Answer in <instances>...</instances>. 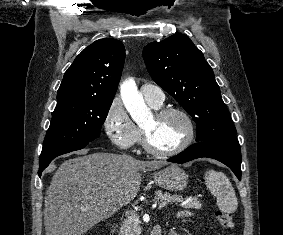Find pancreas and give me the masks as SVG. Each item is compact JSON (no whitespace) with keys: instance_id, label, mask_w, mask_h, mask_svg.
Listing matches in <instances>:
<instances>
[{"instance_id":"pancreas-1","label":"pancreas","mask_w":283,"mask_h":235,"mask_svg":"<svg viewBox=\"0 0 283 235\" xmlns=\"http://www.w3.org/2000/svg\"><path fill=\"white\" fill-rule=\"evenodd\" d=\"M155 200L158 202H165L166 204L175 203L183 201L182 196L171 195L169 193H159L156 194ZM182 207L186 209H201V203L196 199L192 198L188 202L181 204ZM141 232V227L139 226L138 216L135 213H131L123 222L121 227V235H138Z\"/></svg>"}]
</instances>
